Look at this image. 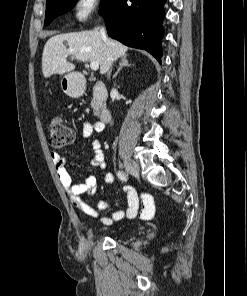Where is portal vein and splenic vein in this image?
<instances>
[{"label":"portal vein and splenic vein","instance_id":"18ae733b","mask_svg":"<svg viewBox=\"0 0 247 296\" xmlns=\"http://www.w3.org/2000/svg\"><path fill=\"white\" fill-rule=\"evenodd\" d=\"M90 68L94 71L98 70L99 69V64L98 62H91L90 63Z\"/></svg>","mask_w":247,"mask_h":296}]
</instances>
